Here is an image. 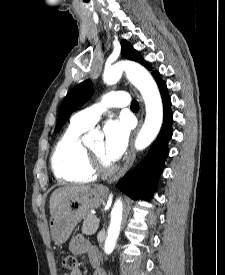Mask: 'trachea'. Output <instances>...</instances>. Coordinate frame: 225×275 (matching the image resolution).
I'll return each mask as SVG.
<instances>
[{
  "label": "trachea",
  "instance_id": "3493384b",
  "mask_svg": "<svg viewBox=\"0 0 225 275\" xmlns=\"http://www.w3.org/2000/svg\"><path fill=\"white\" fill-rule=\"evenodd\" d=\"M131 109H138V102L137 101L132 102Z\"/></svg>",
  "mask_w": 225,
  "mask_h": 275
}]
</instances>
